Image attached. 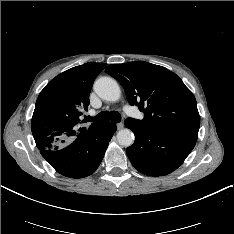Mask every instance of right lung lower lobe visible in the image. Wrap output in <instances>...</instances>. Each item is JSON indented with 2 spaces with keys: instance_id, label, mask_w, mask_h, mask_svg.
I'll list each match as a JSON object with an SVG mask.
<instances>
[{
  "instance_id": "right-lung-lower-lobe-1",
  "label": "right lung lower lobe",
  "mask_w": 234,
  "mask_h": 234,
  "mask_svg": "<svg viewBox=\"0 0 234 234\" xmlns=\"http://www.w3.org/2000/svg\"><path fill=\"white\" fill-rule=\"evenodd\" d=\"M115 131L114 123H100L68 145L40 150V153L58 173L70 178H83L98 168Z\"/></svg>"
}]
</instances>
